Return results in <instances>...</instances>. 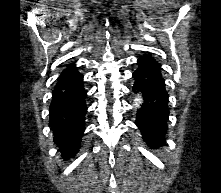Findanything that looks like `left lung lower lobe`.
<instances>
[{
	"mask_svg": "<svg viewBox=\"0 0 221 193\" xmlns=\"http://www.w3.org/2000/svg\"><path fill=\"white\" fill-rule=\"evenodd\" d=\"M138 68L133 72V91L140 93L143 103L138 110L136 124L148 145L165 143L169 116L168 93L162 68L155 58L147 53L138 60ZM159 132V133H158Z\"/></svg>",
	"mask_w": 221,
	"mask_h": 193,
	"instance_id": "0a47b994",
	"label": "left lung lower lobe"
}]
</instances>
